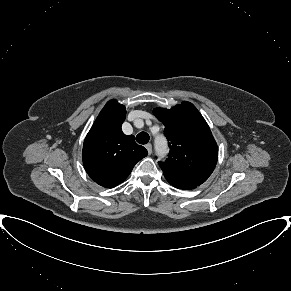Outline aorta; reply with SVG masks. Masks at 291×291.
Returning <instances> with one entry per match:
<instances>
[{
	"label": "aorta",
	"mask_w": 291,
	"mask_h": 291,
	"mask_svg": "<svg viewBox=\"0 0 291 291\" xmlns=\"http://www.w3.org/2000/svg\"><path fill=\"white\" fill-rule=\"evenodd\" d=\"M155 151L159 157H165L168 153L167 140L163 135H158L155 138Z\"/></svg>",
	"instance_id": "1"
}]
</instances>
